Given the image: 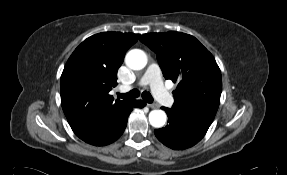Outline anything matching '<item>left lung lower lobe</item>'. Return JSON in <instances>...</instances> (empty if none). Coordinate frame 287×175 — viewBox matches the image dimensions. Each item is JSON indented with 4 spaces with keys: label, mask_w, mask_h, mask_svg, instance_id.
Instances as JSON below:
<instances>
[{
    "label": "left lung lower lobe",
    "mask_w": 287,
    "mask_h": 175,
    "mask_svg": "<svg viewBox=\"0 0 287 175\" xmlns=\"http://www.w3.org/2000/svg\"><path fill=\"white\" fill-rule=\"evenodd\" d=\"M162 109L168 115V125L156 129L154 133L164 145L174 150H184L194 146L204 137V134L186 124L168 108L162 107Z\"/></svg>",
    "instance_id": "obj_1"
}]
</instances>
